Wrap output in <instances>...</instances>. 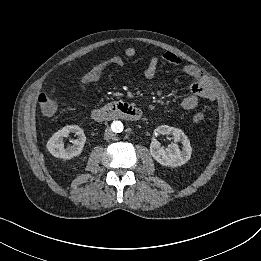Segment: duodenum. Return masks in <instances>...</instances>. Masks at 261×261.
I'll return each mask as SVG.
<instances>
[{
	"instance_id": "duodenum-1",
	"label": "duodenum",
	"mask_w": 261,
	"mask_h": 261,
	"mask_svg": "<svg viewBox=\"0 0 261 261\" xmlns=\"http://www.w3.org/2000/svg\"><path fill=\"white\" fill-rule=\"evenodd\" d=\"M92 118L97 121L127 119L137 120L141 113L129 103L119 102L101 109H95L91 113Z\"/></svg>"
}]
</instances>
